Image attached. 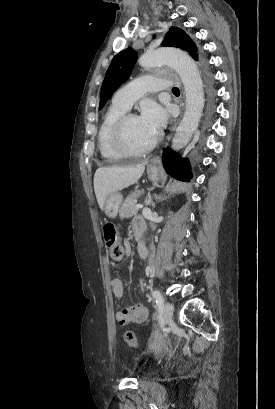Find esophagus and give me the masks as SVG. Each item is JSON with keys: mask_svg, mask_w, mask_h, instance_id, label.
Returning <instances> with one entry per match:
<instances>
[{"mask_svg": "<svg viewBox=\"0 0 275 409\" xmlns=\"http://www.w3.org/2000/svg\"><path fill=\"white\" fill-rule=\"evenodd\" d=\"M170 138H171V136L169 135V136L167 137V139L170 140ZM166 144H167V142H166ZM166 144H165V145H166ZM155 159H156V160H157V159H160V155H157V156L155 157Z\"/></svg>", "mask_w": 275, "mask_h": 409, "instance_id": "obj_1", "label": "esophagus"}]
</instances>
